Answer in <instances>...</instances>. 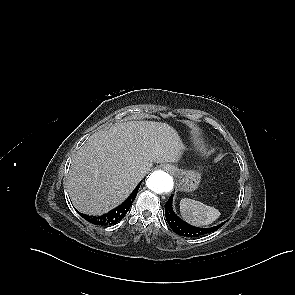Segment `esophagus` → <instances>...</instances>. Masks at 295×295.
Segmentation results:
<instances>
[{
	"label": "esophagus",
	"mask_w": 295,
	"mask_h": 295,
	"mask_svg": "<svg viewBox=\"0 0 295 295\" xmlns=\"http://www.w3.org/2000/svg\"><path fill=\"white\" fill-rule=\"evenodd\" d=\"M164 169L170 173H174L175 172V167L172 165H165Z\"/></svg>",
	"instance_id": "obj_1"
}]
</instances>
